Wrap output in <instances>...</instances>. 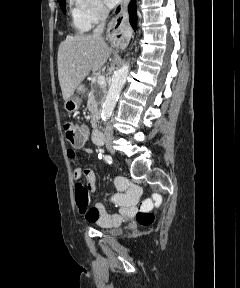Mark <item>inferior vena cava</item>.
I'll return each instance as SVG.
<instances>
[{"instance_id": "inferior-vena-cava-1", "label": "inferior vena cava", "mask_w": 240, "mask_h": 288, "mask_svg": "<svg viewBox=\"0 0 240 288\" xmlns=\"http://www.w3.org/2000/svg\"><path fill=\"white\" fill-rule=\"evenodd\" d=\"M109 11L106 7H101L100 11H99V19H100V23L99 25L93 30V34L92 36L94 38H98V39H102V33L104 31V27H105V22L106 19L108 17ZM104 137L105 140H112L113 138V127L111 124H108L106 126L105 132H104Z\"/></svg>"}]
</instances>
